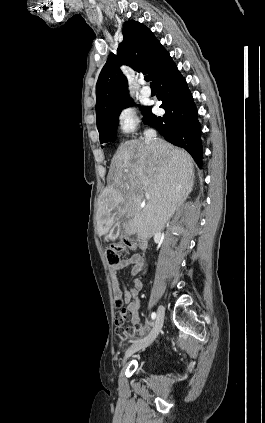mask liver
Wrapping results in <instances>:
<instances>
[{"label":"liver","mask_w":265,"mask_h":423,"mask_svg":"<svg viewBox=\"0 0 265 423\" xmlns=\"http://www.w3.org/2000/svg\"><path fill=\"white\" fill-rule=\"evenodd\" d=\"M193 159L162 139L122 143L111 160L108 185L100 195L97 231L102 236L120 218L125 234L151 238L163 229L194 185ZM149 198L144 207V194ZM113 212V213H112Z\"/></svg>","instance_id":"6515ba94"}]
</instances>
